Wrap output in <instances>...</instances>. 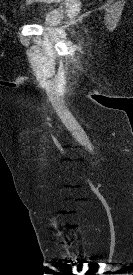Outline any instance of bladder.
I'll list each match as a JSON object with an SVG mask.
<instances>
[{
  "label": "bladder",
  "mask_w": 133,
  "mask_h": 275,
  "mask_svg": "<svg viewBox=\"0 0 133 275\" xmlns=\"http://www.w3.org/2000/svg\"><path fill=\"white\" fill-rule=\"evenodd\" d=\"M61 19V11H59L57 8H51L45 13L42 24L45 26H55L60 22Z\"/></svg>",
  "instance_id": "1"
}]
</instances>
